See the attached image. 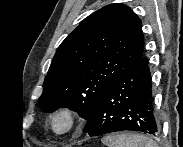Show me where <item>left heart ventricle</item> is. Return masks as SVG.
Here are the masks:
<instances>
[{
  "mask_svg": "<svg viewBox=\"0 0 183 147\" xmlns=\"http://www.w3.org/2000/svg\"><path fill=\"white\" fill-rule=\"evenodd\" d=\"M67 125H68L67 121L63 118L57 120L56 122V128L59 131L65 130L67 128Z\"/></svg>",
  "mask_w": 183,
  "mask_h": 147,
  "instance_id": "b2bd125f",
  "label": "left heart ventricle"
}]
</instances>
